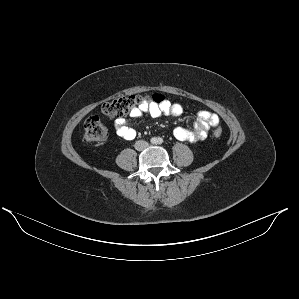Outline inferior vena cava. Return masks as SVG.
Instances as JSON below:
<instances>
[{"label": "inferior vena cava", "mask_w": 299, "mask_h": 299, "mask_svg": "<svg viewBox=\"0 0 299 299\" xmlns=\"http://www.w3.org/2000/svg\"><path fill=\"white\" fill-rule=\"evenodd\" d=\"M148 146H149L148 142L143 141V140L137 141L134 145L135 149L138 151H142V150L146 149Z\"/></svg>", "instance_id": "602c4592"}]
</instances>
